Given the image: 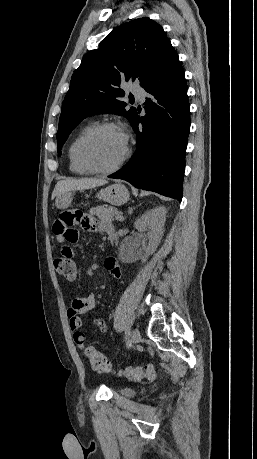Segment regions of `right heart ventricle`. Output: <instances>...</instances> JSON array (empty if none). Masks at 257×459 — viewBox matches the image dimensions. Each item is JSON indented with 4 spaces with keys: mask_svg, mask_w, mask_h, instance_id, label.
<instances>
[{
    "mask_svg": "<svg viewBox=\"0 0 257 459\" xmlns=\"http://www.w3.org/2000/svg\"><path fill=\"white\" fill-rule=\"evenodd\" d=\"M90 128V126H85L83 127L77 134L76 136L73 138V140L71 141L69 147H68V152H67V156H68V163H69V169L72 173L76 174V175H81V176H84V175H88L90 174L91 172H89L88 170L84 169L78 162L77 158H76V146H77V143L79 141V139L81 138V136Z\"/></svg>",
    "mask_w": 257,
    "mask_h": 459,
    "instance_id": "e07e8e85",
    "label": "right heart ventricle"
}]
</instances>
